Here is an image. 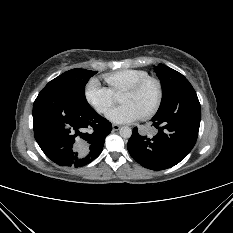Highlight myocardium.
<instances>
[{"label": "myocardium", "mask_w": 233, "mask_h": 233, "mask_svg": "<svg viewBox=\"0 0 233 233\" xmlns=\"http://www.w3.org/2000/svg\"><path fill=\"white\" fill-rule=\"evenodd\" d=\"M155 83L157 86V90H158V95H157V99L154 103V105L145 113L141 116L142 119H149L152 116H154L157 111L159 110L161 104H162V100H163V85L160 79L154 77V76H147L139 81H137L136 83L130 85L129 87H127L124 92H139L141 91L148 83Z\"/></svg>", "instance_id": "obj_1"}]
</instances>
